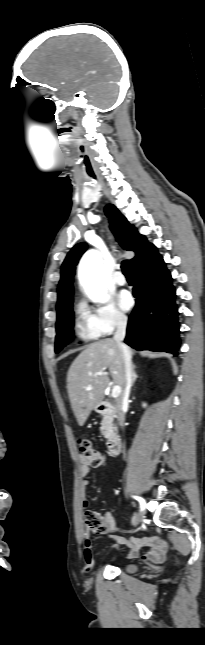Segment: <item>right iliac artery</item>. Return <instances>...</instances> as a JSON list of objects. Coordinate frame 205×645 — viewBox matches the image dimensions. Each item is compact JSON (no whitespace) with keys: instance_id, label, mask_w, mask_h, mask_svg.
<instances>
[{"instance_id":"obj_1","label":"right iliac artery","mask_w":205,"mask_h":645,"mask_svg":"<svg viewBox=\"0 0 205 645\" xmlns=\"http://www.w3.org/2000/svg\"><path fill=\"white\" fill-rule=\"evenodd\" d=\"M133 497H134L136 500H138V501H139V503H140V507H141V510H143V509L145 508V501H144V499H143V498H141V497H138V496H133Z\"/></svg>"}]
</instances>
